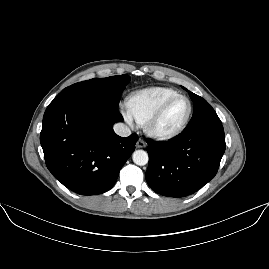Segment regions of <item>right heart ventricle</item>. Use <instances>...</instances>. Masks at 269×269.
I'll return each instance as SVG.
<instances>
[{
  "label": "right heart ventricle",
  "mask_w": 269,
  "mask_h": 269,
  "mask_svg": "<svg viewBox=\"0 0 269 269\" xmlns=\"http://www.w3.org/2000/svg\"><path fill=\"white\" fill-rule=\"evenodd\" d=\"M178 95V92L166 87H151L131 93L126 100L130 116L141 126L167 99Z\"/></svg>",
  "instance_id": "obj_1"
}]
</instances>
